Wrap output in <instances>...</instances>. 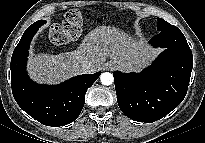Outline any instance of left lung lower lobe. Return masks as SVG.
Wrapping results in <instances>:
<instances>
[{
	"mask_svg": "<svg viewBox=\"0 0 205 143\" xmlns=\"http://www.w3.org/2000/svg\"><path fill=\"white\" fill-rule=\"evenodd\" d=\"M150 44L165 50L140 73H113L121 111L138 122H155L173 109L187 93L193 56L179 30L161 31Z\"/></svg>",
	"mask_w": 205,
	"mask_h": 143,
	"instance_id": "1",
	"label": "left lung lower lobe"
}]
</instances>
